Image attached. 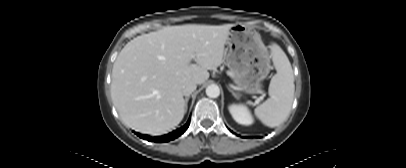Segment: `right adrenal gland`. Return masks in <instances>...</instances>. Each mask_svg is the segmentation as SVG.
Here are the masks:
<instances>
[{
	"label": "right adrenal gland",
	"mask_w": 406,
	"mask_h": 168,
	"mask_svg": "<svg viewBox=\"0 0 406 168\" xmlns=\"http://www.w3.org/2000/svg\"><path fill=\"white\" fill-rule=\"evenodd\" d=\"M189 98H190V96H187V97L185 98V112H187V109H188V101H189Z\"/></svg>",
	"instance_id": "2a0ac1e0"
}]
</instances>
